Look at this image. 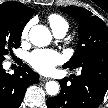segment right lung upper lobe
<instances>
[{
	"label": "right lung upper lobe",
	"instance_id": "right-lung-upper-lobe-1",
	"mask_svg": "<svg viewBox=\"0 0 108 108\" xmlns=\"http://www.w3.org/2000/svg\"><path fill=\"white\" fill-rule=\"evenodd\" d=\"M8 6H15L19 11L20 15L28 22L29 19L34 14V10L30 7L25 6L23 3L10 1L4 2L0 5V7H8Z\"/></svg>",
	"mask_w": 108,
	"mask_h": 108
}]
</instances>
